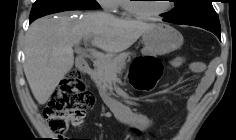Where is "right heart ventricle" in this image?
<instances>
[{
	"label": "right heart ventricle",
	"mask_w": 236,
	"mask_h": 140,
	"mask_svg": "<svg viewBox=\"0 0 236 140\" xmlns=\"http://www.w3.org/2000/svg\"><path fill=\"white\" fill-rule=\"evenodd\" d=\"M116 5H117V8L120 7L124 11H128L127 8H126L127 0H116Z\"/></svg>",
	"instance_id": "1"
}]
</instances>
